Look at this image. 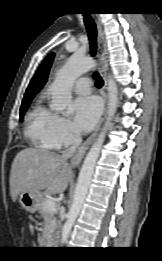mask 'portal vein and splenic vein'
I'll use <instances>...</instances> for the list:
<instances>
[{
    "label": "portal vein and splenic vein",
    "instance_id": "18ae733b",
    "mask_svg": "<svg viewBox=\"0 0 162 261\" xmlns=\"http://www.w3.org/2000/svg\"><path fill=\"white\" fill-rule=\"evenodd\" d=\"M47 211L54 212L56 210V202L53 199H48L45 204Z\"/></svg>",
    "mask_w": 162,
    "mask_h": 261
}]
</instances>
